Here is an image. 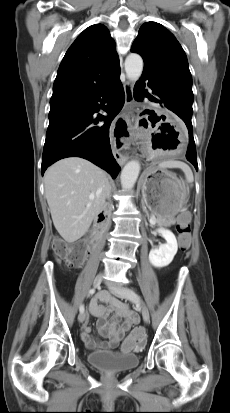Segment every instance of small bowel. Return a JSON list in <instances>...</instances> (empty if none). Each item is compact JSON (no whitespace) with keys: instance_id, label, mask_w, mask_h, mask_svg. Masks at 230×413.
Here are the masks:
<instances>
[{"instance_id":"obj_1","label":"small bowel","mask_w":230,"mask_h":413,"mask_svg":"<svg viewBox=\"0 0 230 413\" xmlns=\"http://www.w3.org/2000/svg\"><path fill=\"white\" fill-rule=\"evenodd\" d=\"M98 301L108 305L99 304ZM90 312L98 318V332L107 341H99L91 336V328L85 324L81 333L84 344L90 349H115L122 341L123 336L133 325L138 323L139 318L135 312L130 310L126 304L112 297L108 292L101 291L90 303ZM120 318L124 321L120 324ZM132 349L128 340H124L120 348L121 353H129Z\"/></svg>"}]
</instances>
